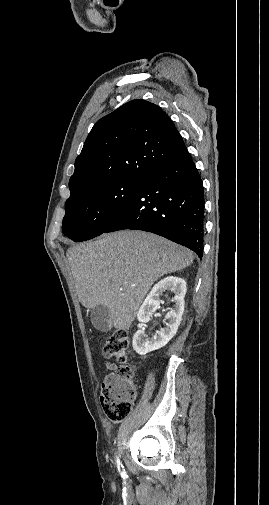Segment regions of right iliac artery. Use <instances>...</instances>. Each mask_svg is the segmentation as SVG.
<instances>
[{"instance_id":"1","label":"right iliac artery","mask_w":269,"mask_h":505,"mask_svg":"<svg viewBox=\"0 0 269 505\" xmlns=\"http://www.w3.org/2000/svg\"><path fill=\"white\" fill-rule=\"evenodd\" d=\"M117 468L122 476L125 475V470L123 468V465L120 462V459L117 457Z\"/></svg>"}]
</instances>
